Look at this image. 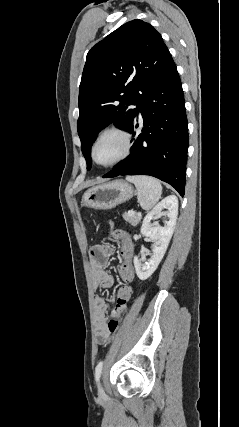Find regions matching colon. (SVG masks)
I'll use <instances>...</instances> for the list:
<instances>
[{
    "instance_id": "1",
    "label": "colon",
    "mask_w": 239,
    "mask_h": 427,
    "mask_svg": "<svg viewBox=\"0 0 239 427\" xmlns=\"http://www.w3.org/2000/svg\"><path fill=\"white\" fill-rule=\"evenodd\" d=\"M133 230H123L122 227H117L112 232V242L118 244V253L120 255V262L117 263V282H123L119 288L115 290V297L119 298L116 305L113 307L119 308L129 298L132 291V285L137 273L136 270V247L135 241L132 237ZM121 234V235H120ZM113 301L112 299L110 300ZM119 323L116 318H111L108 323V332L114 333L118 329Z\"/></svg>"
}]
</instances>
